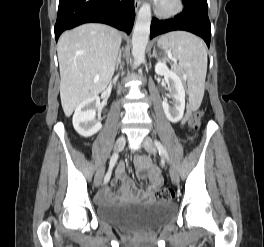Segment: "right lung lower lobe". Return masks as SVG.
I'll list each match as a JSON object with an SVG mask.
<instances>
[{
  "label": "right lung lower lobe",
  "instance_id": "right-lung-lower-lobe-1",
  "mask_svg": "<svg viewBox=\"0 0 264 247\" xmlns=\"http://www.w3.org/2000/svg\"><path fill=\"white\" fill-rule=\"evenodd\" d=\"M135 18L134 0H59L55 39L84 23H104L127 34Z\"/></svg>",
  "mask_w": 264,
  "mask_h": 247
}]
</instances>
